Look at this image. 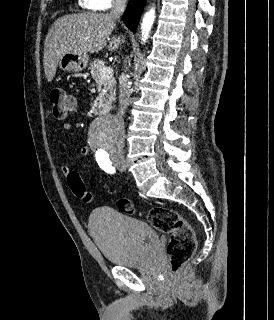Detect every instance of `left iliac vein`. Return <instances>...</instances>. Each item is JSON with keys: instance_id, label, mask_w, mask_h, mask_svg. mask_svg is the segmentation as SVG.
Wrapping results in <instances>:
<instances>
[{"instance_id": "1", "label": "left iliac vein", "mask_w": 274, "mask_h": 320, "mask_svg": "<svg viewBox=\"0 0 274 320\" xmlns=\"http://www.w3.org/2000/svg\"><path fill=\"white\" fill-rule=\"evenodd\" d=\"M116 167L118 168L119 171L121 172H124L126 171V162L123 160V161H117L115 163Z\"/></svg>"}]
</instances>
